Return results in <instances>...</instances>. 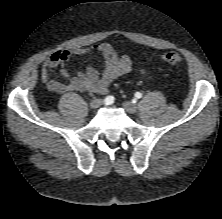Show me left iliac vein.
Returning <instances> with one entry per match:
<instances>
[{
  "mask_svg": "<svg viewBox=\"0 0 222 219\" xmlns=\"http://www.w3.org/2000/svg\"><path fill=\"white\" fill-rule=\"evenodd\" d=\"M123 107L130 114H134L137 112V106L130 101H125L123 103Z\"/></svg>",
  "mask_w": 222,
  "mask_h": 219,
  "instance_id": "obj_1",
  "label": "left iliac vein"
}]
</instances>
